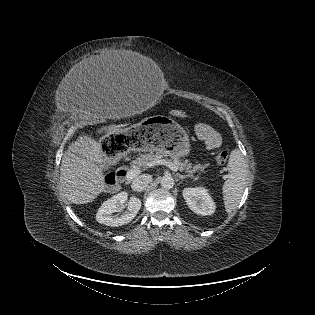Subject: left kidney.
<instances>
[{
  "instance_id": "obj_1",
  "label": "left kidney",
  "mask_w": 315,
  "mask_h": 315,
  "mask_svg": "<svg viewBox=\"0 0 315 315\" xmlns=\"http://www.w3.org/2000/svg\"><path fill=\"white\" fill-rule=\"evenodd\" d=\"M183 197L188 207L201 216L212 215L216 204L204 187L185 188Z\"/></svg>"
}]
</instances>
